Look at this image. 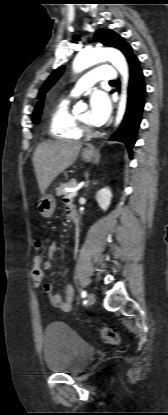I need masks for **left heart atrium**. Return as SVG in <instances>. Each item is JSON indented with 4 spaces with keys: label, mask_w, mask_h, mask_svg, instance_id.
<instances>
[{
    "label": "left heart atrium",
    "mask_w": 168,
    "mask_h": 415,
    "mask_svg": "<svg viewBox=\"0 0 168 415\" xmlns=\"http://www.w3.org/2000/svg\"><path fill=\"white\" fill-rule=\"evenodd\" d=\"M111 103L102 91H95L90 98L89 122L93 126H102L109 118Z\"/></svg>",
    "instance_id": "left-heart-atrium-1"
}]
</instances>
